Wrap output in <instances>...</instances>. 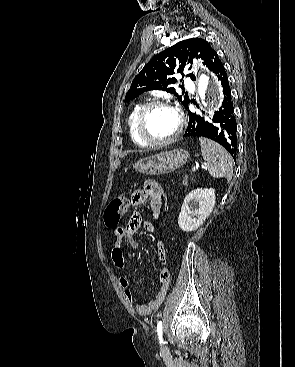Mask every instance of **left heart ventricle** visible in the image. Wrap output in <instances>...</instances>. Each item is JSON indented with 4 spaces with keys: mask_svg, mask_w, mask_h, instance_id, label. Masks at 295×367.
<instances>
[{
    "mask_svg": "<svg viewBox=\"0 0 295 367\" xmlns=\"http://www.w3.org/2000/svg\"><path fill=\"white\" fill-rule=\"evenodd\" d=\"M178 127V118L169 108L158 107L150 111L145 123L147 135L155 140H163L172 136Z\"/></svg>",
    "mask_w": 295,
    "mask_h": 367,
    "instance_id": "obj_1",
    "label": "left heart ventricle"
}]
</instances>
